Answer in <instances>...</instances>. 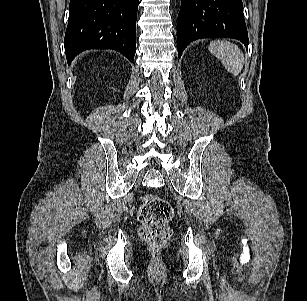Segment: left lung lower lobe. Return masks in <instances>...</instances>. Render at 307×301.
I'll return each instance as SVG.
<instances>
[{
  "mask_svg": "<svg viewBox=\"0 0 307 301\" xmlns=\"http://www.w3.org/2000/svg\"><path fill=\"white\" fill-rule=\"evenodd\" d=\"M234 38L248 47L242 0H182L178 14V57L202 38Z\"/></svg>",
  "mask_w": 307,
  "mask_h": 301,
  "instance_id": "obj_1",
  "label": "left lung lower lobe"
}]
</instances>
